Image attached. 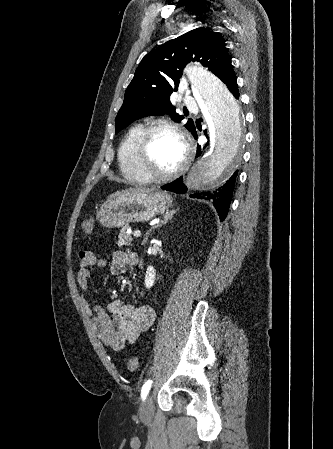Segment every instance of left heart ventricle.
I'll return each mask as SVG.
<instances>
[{
  "label": "left heart ventricle",
  "instance_id": "obj_1",
  "mask_svg": "<svg viewBox=\"0 0 333 449\" xmlns=\"http://www.w3.org/2000/svg\"><path fill=\"white\" fill-rule=\"evenodd\" d=\"M184 154L183 145L176 135L158 131L149 144L147 166L155 173H169L179 166Z\"/></svg>",
  "mask_w": 333,
  "mask_h": 449
}]
</instances>
